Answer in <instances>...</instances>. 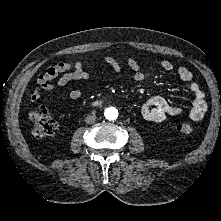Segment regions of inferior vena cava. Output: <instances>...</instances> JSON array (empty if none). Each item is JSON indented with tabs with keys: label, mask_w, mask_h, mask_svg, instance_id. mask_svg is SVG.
Here are the masks:
<instances>
[{
	"label": "inferior vena cava",
	"mask_w": 221,
	"mask_h": 221,
	"mask_svg": "<svg viewBox=\"0 0 221 221\" xmlns=\"http://www.w3.org/2000/svg\"><path fill=\"white\" fill-rule=\"evenodd\" d=\"M95 120H96V116L95 115H88L86 118H85V122L86 123H93V122H95Z\"/></svg>",
	"instance_id": "1"
}]
</instances>
